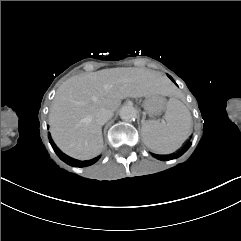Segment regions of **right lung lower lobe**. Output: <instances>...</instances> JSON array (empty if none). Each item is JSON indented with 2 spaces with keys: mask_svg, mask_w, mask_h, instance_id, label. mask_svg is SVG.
Returning <instances> with one entry per match:
<instances>
[{
  "mask_svg": "<svg viewBox=\"0 0 241 241\" xmlns=\"http://www.w3.org/2000/svg\"><path fill=\"white\" fill-rule=\"evenodd\" d=\"M48 138H49L50 144L52 145L54 151L60 157V159L63 160L64 162H66L67 164L71 165V166H75V167L90 166V165L94 164L95 162H97L100 158V157H96V158H93V159L87 160V161H80V160L73 159V158L65 155L64 153H62L57 148V146L54 144L53 140L51 139L50 134L48 135Z\"/></svg>",
  "mask_w": 241,
  "mask_h": 241,
  "instance_id": "right-lung-lower-lobe-1",
  "label": "right lung lower lobe"
}]
</instances>
